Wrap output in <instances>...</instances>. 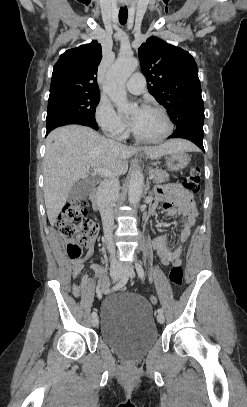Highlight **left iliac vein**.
Returning <instances> with one entry per match:
<instances>
[{"instance_id": "1", "label": "left iliac vein", "mask_w": 247, "mask_h": 407, "mask_svg": "<svg viewBox=\"0 0 247 407\" xmlns=\"http://www.w3.org/2000/svg\"><path fill=\"white\" fill-rule=\"evenodd\" d=\"M124 273L127 274L128 276H130L131 278H133V277L135 276L134 269H133V267H132L131 265H129V264L124 267ZM157 321H158L160 324L164 323V321H165L164 315L159 313V314L157 315Z\"/></svg>"}]
</instances>
